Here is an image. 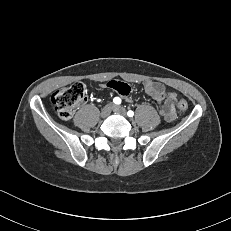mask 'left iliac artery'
I'll list each match as a JSON object with an SVG mask.
<instances>
[{"mask_svg": "<svg viewBox=\"0 0 231 231\" xmlns=\"http://www.w3.org/2000/svg\"><path fill=\"white\" fill-rule=\"evenodd\" d=\"M127 115H128L129 117H132V116L134 115V112L131 111V110H129V111L127 112Z\"/></svg>", "mask_w": 231, "mask_h": 231, "instance_id": "left-iliac-artery-1", "label": "left iliac artery"}]
</instances>
